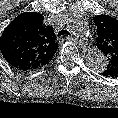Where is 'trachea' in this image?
Masks as SVG:
<instances>
[{
	"label": "trachea",
	"mask_w": 118,
	"mask_h": 118,
	"mask_svg": "<svg viewBox=\"0 0 118 118\" xmlns=\"http://www.w3.org/2000/svg\"><path fill=\"white\" fill-rule=\"evenodd\" d=\"M68 35H71L69 31L67 30H61L58 32V36H68Z\"/></svg>",
	"instance_id": "3493384b"
}]
</instances>
